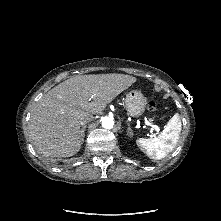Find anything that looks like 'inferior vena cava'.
Returning a JSON list of instances; mask_svg holds the SVG:
<instances>
[{"label":"inferior vena cava","mask_w":221,"mask_h":221,"mask_svg":"<svg viewBox=\"0 0 221 221\" xmlns=\"http://www.w3.org/2000/svg\"><path fill=\"white\" fill-rule=\"evenodd\" d=\"M93 120V115H85L80 119V124L81 125H85L88 124L89 122H91Z\"/></svg>","instance_id":"602c4592"}]
</instances>
